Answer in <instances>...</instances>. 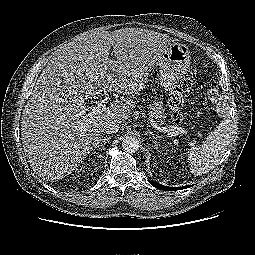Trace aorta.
<instances>
[{
  "label": "aorta",
  "instance_id": "obj_1",
  "mask_svg": "<svg viewBox=\"0 0 255 255\" xmlns=\"http://www.w3.org/2000/svg\"><path fill=\"white\" fill-rule=\"evenodd\" d=\"M123 150L134 153L139 150V140L134 136H126L122 141Z\"/></svg>",
  "mask_w": 255,
  "mask_h": 255
}]
</instances>
